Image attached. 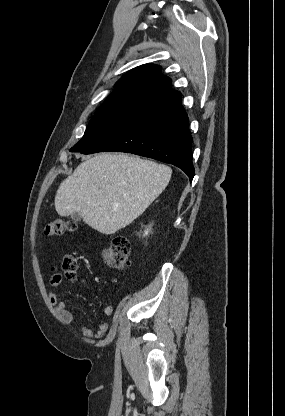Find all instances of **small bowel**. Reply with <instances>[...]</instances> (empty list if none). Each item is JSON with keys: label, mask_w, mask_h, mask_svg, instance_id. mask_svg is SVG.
<instances>
[{"label": "small bowel", "mask_w": 285, "mask_h": 416, "mask_svg": "<svg viewBox=\"0 0 285 416\" xmlns=\"http://www.w3.org/2000/svg\"><path fill=\"white\" fill-rule=\"evenodd\" d=\"M50 303L53 305L55 313L59 320L64 324H72L74 322V316L71 311L67 308L66 304L60 300L54 292L48 294ZM105 318L99 323L95 332H93L89 327L82 325L81 333L84 338L87 339H99L102 338L108 330L109 323L108 317L111 316L113 312V307L110 304H106L103 309Z\"/></svg>", "instance_id": "1"}]
</instances>
